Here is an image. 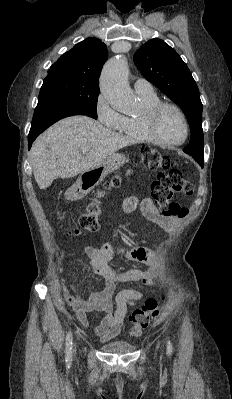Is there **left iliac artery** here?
<instances>
[{"instance_id": "obj_1", "label": "left iliac artery", "mask_w": 232, "mask_h": 399, "mask_svg": "<svg viewBox=\"0 0 232 399\" xmlns=\"http://www.w3.org/2000/svg\"><path fill=\"white\" fill-rule=\"evenodd\" d=\"M166 354L168 356H170L172 354V344L170 341H167V350H166Z\"/></svg>"}]
</instances>
